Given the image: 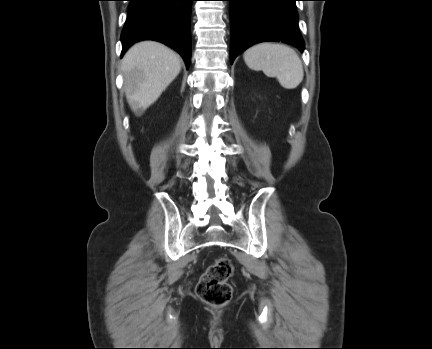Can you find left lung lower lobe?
<instances>
[{"label": "left lung lower lobe", "instance_id": "obj_1", "mask_svg": "<svg viewBox=\"0 0 432 349\" xmlns=\"http://www.w3.org/2000/svg\"><path fill=\"white\" fill-rule=\"evenodd\" d=\"M230 1L231 63L250 46L264 41H281L301 52L304 41L298 28L297 0Z\"/></svg>", "mask_w": 432, "mask_h": 349}]
</instances>
